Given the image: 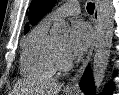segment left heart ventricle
<instances>
[{"label": "left heart ventricle", "instance_id": "b2bd125f", "mask_svg": "<svg viewBox=\"0 0 119 95\" xmlns=\"http://www.w3.org/2000/svg\"><path fill=\"white\" fill-rule=\"evenodd\" d=\"M56 43L58 44V46L61 48V50H62V51L64 52V54H65L64 49H65L66 40H65V39L58 40Z\"/></svg>", "mask_w": 119, "mask_h": 95}]
</instances>
